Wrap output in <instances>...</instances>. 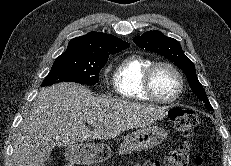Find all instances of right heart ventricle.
<instances>
[{
  "mask_svg": "<svg viewBox=\"0 0 231 166\" xmlns=\"http://www.w3.org/2000/svg\"><path fill=\"white\" fill-rule=\"evenodd\" d=\"M152 63V59L140 54L125 57L113 73V86L116 93L127 100H150L144 91L143 79L146 69Z\"/></svg>",
  "mask_w": 231,
  "mask_h": 166,
  "instance_id": "e07e8e85",
  "label": "right heart ventricle"
}]
</instances>
